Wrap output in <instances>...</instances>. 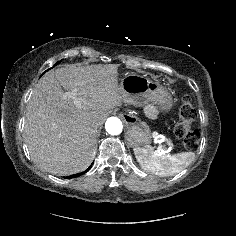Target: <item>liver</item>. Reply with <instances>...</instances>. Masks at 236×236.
<instances>
[{"mask_svg": "<svg viewBox=\"0 0 236 236\" xmlns=\"http://www.w3.org/2000/svg\"><path fill=\"white\" fill-rule=\"evenodd\" d=\"M118 64L71 66L49 71L27 104L24 133L31 158L54 175L89 167L96 155L97 129L112 109L127 102L118 83ZM75 91L80 106L66 96Z\"/></svg>", "mask_w": 236, "mask_h": 236, "instance_id": "1", "label": "liver"}]
</instances>
